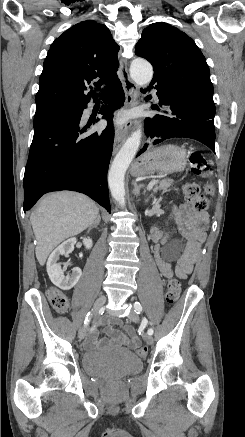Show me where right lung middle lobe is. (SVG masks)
Here are the masks:
<instances>
[{
    "label": "right lung middle lobe",
    "mask_w": 245,
    "mask_h": 437,
    "mask_svg": "<svg viewBox=\"0 0 245 437\" xmlns=\"http://www.w3.org/2000/svg\"><path fill=\"white\" fill-rule=\"evenodd\" d=\"M74 108H76V105H55L44 109L36 110L33 126L37 127L49 117Z\"/></svg>",
    "instance_id": "right-lung-middle-lobe-1"
}]
</instances>
